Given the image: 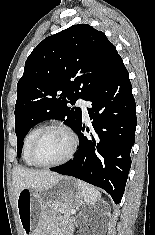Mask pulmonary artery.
I'll use <instances>...</instances> for the list:
<instances>
[{"mask_svg":"<svg viewBox=\"0 0 155 235\" xmlns=\"http://www.w3.org/2000/svg\"><path fill=\"white\" fill-rule=\"evenodd\" d=\"M77 105L81 107L82 111H83V115L84 117L87 119L88 118V102L85 101L84 99H79L77 101Z\"/></svg>","mask_w":155,"mask_h":235,"instance_id":"e3ab8cb5","label":"pulmonary artery"}]
</instances>
